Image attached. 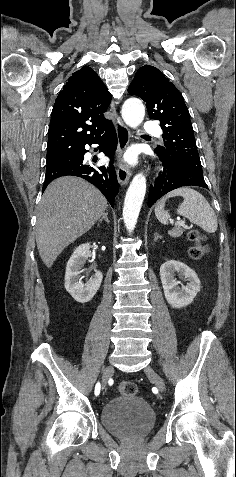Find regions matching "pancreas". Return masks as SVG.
Listing matches in <instances>:
<instances>
[{"instance_id":"obj_1","label":"pancreas","mask_w":236,"mask_h":477,"mask_svg":"<svg viewBox=\"0 0 236 477\" xmlns=\"http://www.w3.org/2000/svg\"><path fill=\"white\" fill-rule=\"evenodd\" d=\"M183 231H184L183 229L177 228V229L173 230L172 232H170V235L172 237L177 238V237H180L183 234Z\"/></svg>"}]
</instances>
